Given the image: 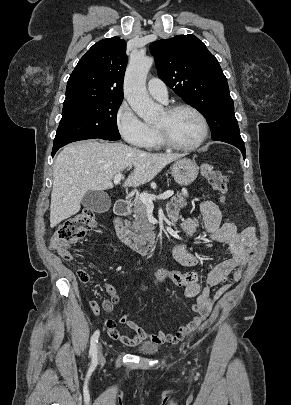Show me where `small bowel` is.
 <instances>
[{"label": "small bowel", "mask_w": 291, "mask_h": 405, "mask_svg": "<svg viewBox=\"0 0 291 405\" xmlns=\"http://www.w3.org/2000/svg\"><path fill=\"white\" fill-rule=\"evenodd\" d=\"M199 213L203 218L210 242L214 244L227 243L231 257L214 266L207 273L203 284L197 282L185 287L186 297H196V302L192 305V310L196 313V316L187 325L179 328L177 332L166 333L163 331H147L131 320L128 314H125L120 317L119 323L128 326L134 335L127 336L120 333L116 328V323L113 320H107L105 321V327L112 339L126 346H134L144 341L155 344L178 343L206 320L213 302L241 278L244 267L253 258L256 250L257 241L253 229L247 228L239 232L232 223L221 225L222 214L212 201L204 200L200 202ZM169 214L171 218L175 219L177 217L176 209L171 208ZM197 225L198 222L195 216H191L182 222V239L175 247L173 257L183 267H193L199 262V258L187 249V243L196 231ZM217 285H221V287L211 297L210 289ZM106 291L109 299L104 301L103 309L112 312L119 303V295L112 285H107ZM90 307L95 315H99L100 309L96 302L92 301Z\"/></svg>", "instance_id": "1"}]
</instances>
